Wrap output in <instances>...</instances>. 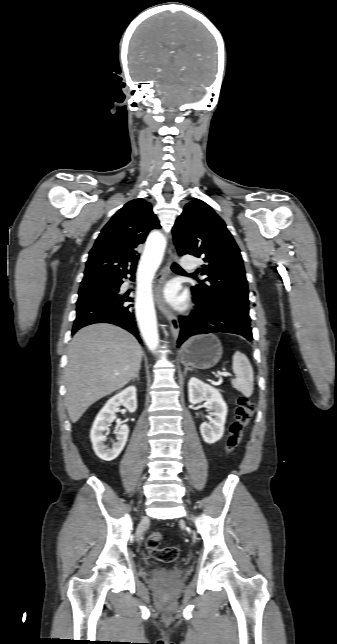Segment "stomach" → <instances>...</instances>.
I'll list each match as a JSON object with an SVG mask.
<instances>
[{
    "label": "stomach",
    "instance_id": "obj_1",
    "mask_svg": "<svg viewBox=\"0 0 337 644\" xmlns=\"http://www.w3.org/2000/svg\"><path fill=\"white\" fill-rule=\"evenodd\" d=\"M220 340L213 334L195 336L188 340L179 352L183 365L197 369H210L222 357Z\"/></svg>",
    "mask_w": 337,
    "mask_h": 644
}]
</instances>
